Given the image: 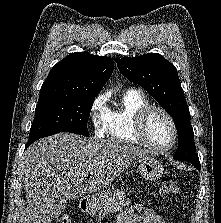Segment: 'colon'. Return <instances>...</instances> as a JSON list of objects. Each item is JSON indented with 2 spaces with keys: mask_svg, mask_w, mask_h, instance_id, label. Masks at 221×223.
Instances as JSON below:
<instances>
[{
  "mask_svg": "<svg viewBox=\"0 0 221 223\" xmlns=\"http://www.w3.org/2000/svg\"><path fill=\"white\" fill-rule=\"evenodd\" d=\"M159 194L164 198L175 197L178 194V186L170 178L163 177L159 185ZM55 223H70V220L68 217L62 216Z\"/></svg>",
  "mask_w": 221,
  "mask_h": 223,
  "instance_id": "5ec220e1",
  "label": "colon"
}]
</instances>
